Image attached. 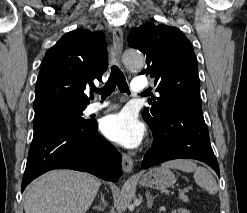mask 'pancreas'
Wrapping results in <instances>:
<instances>
[{"label":"pancreas","mask_w":247,"mask_h":213,"mask_svg":"<svg viewBox=\"0 0 247 213\" xmlns=\"http://www.w3.org/2000/svg\"><path fill=\"white\" fill-rule=\"evenodd\" d=\"M179 198L183 201V202H188V197L185 195L179 196Z\"/></svg>","instance_id":"1"}]
</instances>
